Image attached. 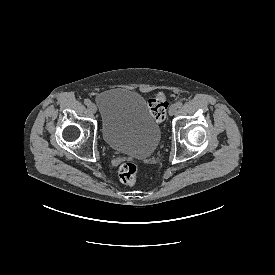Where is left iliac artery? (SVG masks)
Returning <instances> with one entry per match:
<instances>
[{
	"label": "left iliac artery",
	"mask_w": 275,
	"mask_h": 275,
	"mask_svg": "<svg viewBox=\"0 0 275 275\" xmlns=\"http://www.w3.org/2000/svg\"><path fill=\"white\" fill-rule=\"evenodd\" d=\"M176 106H177V108H180V107L182 106V102H181V101H178V102L176 103Z\"/></svg>",
	"instance_id": "left-iliac-artery-1"
}]
</instances>
